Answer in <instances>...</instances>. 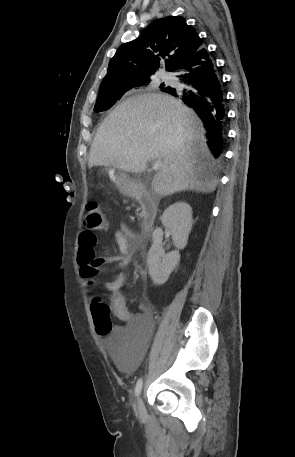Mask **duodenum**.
Returning <instances> with one entry per match:
<instances>
[{"mask_svg": "<svg viewBox=\"0 0 295 457\" xmlns=\"http://www.w3.org/2000/svg\"><path fill=\"white\" fill-rule=\"evenodd\" d=\"M141 206L140 238L146 241L154 229L157 205L148 191L142 187H135L131 193Z\"/></svg>", "mask_w": 295, "mask_h": 457, "instance_id": "obj_1", "label": "duodenum"}]
</instances>
